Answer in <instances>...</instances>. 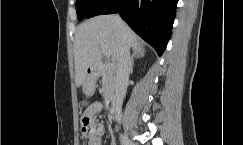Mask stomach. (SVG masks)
<instances>
[{
  "label": "stomach",
  "instance_id": "0dacf381",
  "mask_svg": "<svg viewBox=\"0 0 243 145\" xmlns=\"http://www.w3.org/2000/svg\"><path fill=\"white\" fill-rule=\"evenodd\" d=\"M93 88H94V80L90 78L85 79L83 83V91L85 93H89L93 90Z\"/></svg>",
  "mask_w": 243,
  "mask_h": 145
}]
</instances>
